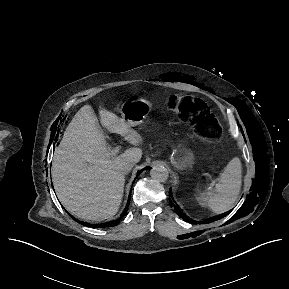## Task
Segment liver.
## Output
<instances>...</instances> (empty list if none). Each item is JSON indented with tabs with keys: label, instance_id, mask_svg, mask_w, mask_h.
Listing matches in <instances>:
<instances>
[{
	"label": "liver",
	"instance_id": "obj_1",
	"mask_svg": "<svg viewBox=\"0 0 289 289\" xmlns=\"http://www.w3.org/2000/svg\"><path fill=\"white\" fill-rule=\"evenodd\" d=\"M99 114L103 126L135 147L112 157L91 106L85 105L66 128L51 169L61 204L72 215L92 221L111 219L118 212L125 183L121 166L142 157L140 137L125 120L102 107Z\"/></svg>",
	"mask_w": 289,
	"mask_h": 289
}]
</instances>
